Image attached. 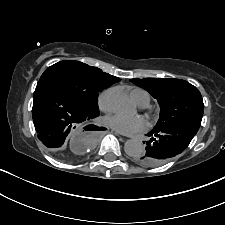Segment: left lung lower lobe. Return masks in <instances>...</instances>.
Returning a JSON list of instances; mask_svg holds the SVG:
<instances>
[{
    "mask_svg": "<svg viewBox=\"0 0 225 225\" xmlns=\"http://www.w3.org/2000/svg\"><path fill=\"white\" fill-rule=\"evenodd\" d=\"M201 122L187 121L162 130H152L145 152L135 159L145 166H159L182 153L197 133Z\"/></svg>",
    "mask_w": 225,
    "mask_h": 225,
    "instance_id": "1",
    "label": "left lung lower lobe"
}]
</instances>
